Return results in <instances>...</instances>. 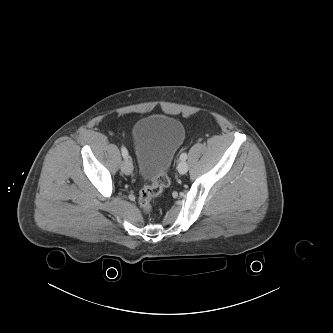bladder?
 Returning <instances> with one entry per match:
<instances>
[{"label": "bladder", "mask_w": 333, "mask_h": 333, "mask_svg": "<svg viewBox=\"0 0 333 333\" xmlns=\"http://www.w3.org/2000/svg\"><path fill=\"white\" fill-rule=\"evenodd\" d=\"M184 138V126L176 118L151 115L138 120L132 141L141 176L150 180L166 173Z\"/></svg>", "instance_id": "bladder-1"}]
</instances>
